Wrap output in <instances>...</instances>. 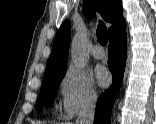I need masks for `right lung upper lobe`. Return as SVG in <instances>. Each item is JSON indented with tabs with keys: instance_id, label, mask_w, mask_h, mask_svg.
I'll list each match as a JSON object with an SVG mask.
<instances>
[{
	"instance_id": "obj_1",
	"label": "right lung upper lobe",
	"mask_w": 156,
	"mask_h": 124,
	"mask_svg": "<svg viewBox=\"0 0 156 124\" xmlns=\"http://www.w3.org/2000/svg\"><path fill=\"white\" fill-rule=\"evenodd\" d=\"M98 7L102 17L113 25L109 28L110 37L125 29L121 0H84L83 13L87 18L95 16ZM70 40V23L65 21L54 39L44 78L65 72L66 58Z\"/></svg>"
}]
</instances>
